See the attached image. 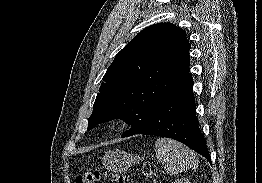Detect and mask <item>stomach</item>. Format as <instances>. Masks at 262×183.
<instances>
[{
    "label": "stomach",
    "instance_id": "1",
    "mask_svg": "<svg viewBox=\"0 0 262 183\" xmlns=\"http://www.w3.org/2000/svg\"><path fill=\"white\" fill-rule=\"evenodd\" d=\"M143 160V156L133 155L123 150H111L103 156L102 163L107 170L115 173H122Z\"/></svg>",
    "mask_w": 262,
    "mask_h": 183
}]
</instances>
